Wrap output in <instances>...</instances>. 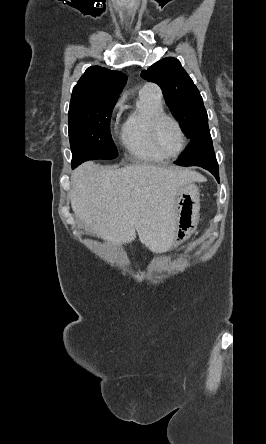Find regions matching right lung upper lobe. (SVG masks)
I'll list each match as a JSON object with an SVG mask.
<instances>
[{
	"instance_id": "obj_1",
	"label": "right lung upper lobe",
	"mask_w": 266,
	"mask_h": 444,
	"mask_svg": "<svg viewBox=\"0 0 266 444\" xmlns=\"http://www.w3.org/2000/svg\"><path fill=\"white\" fill-rule=\"evenodd\" d=\"M126 83V76L100 66L89 67L74 86L70 105H78L102 98H118Z\"/></svg>"
}]
</instances>
